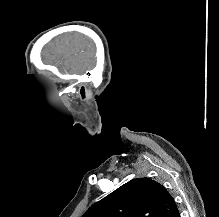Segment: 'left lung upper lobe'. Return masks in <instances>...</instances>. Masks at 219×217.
Here are the masks:
<instances>
[{
  "label": "left lung upper lobe",
  "instance_id": "5c2ea615",
  "mask_svg": "<svg viewBox=\"0 0 219 217\" xmlns=\"http://www.w3.org/2000/svg\"><path fill=\"white\" fill-rule=\"evenodd\" d=\"M179 210L166 188L149 179H134L91 206L82 217H177Z\"/></svg>",
  "mask_w": 219,
  "mask_h": 217
}]
</instances>
